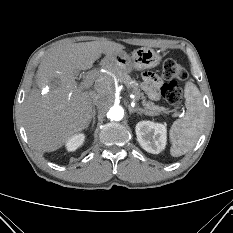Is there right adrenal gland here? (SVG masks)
<instances>
[{"label": "right adrenal gland", "mask_w": 233, "mask_h": 233, "mask_svg": "<svg viewBox=\"0 0 233 233\" xmlns=\"http://www.w3.org/2000/svg\"><path fill=\"white\" fill-rule=\"evenodd\" d=\"M94 124H95V111L92 114V129L94 127Z\"/></svg>", "instance_id": "right-adrenal-gland-1"}]
</instances>
